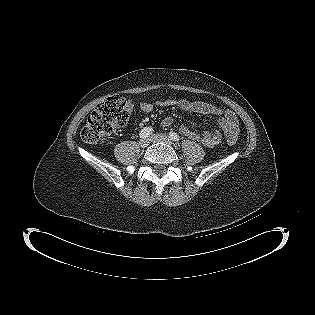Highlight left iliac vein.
Here are the masks:
<instances>
[{"label":"left iliac vein","mask_w":315,"mask_h":315,"mask_svg":"<svg viewBox=\"0 0 315 315\" xmlns=\"http://www.w3.org/2000/svg\"><path fill=\"white\" fill-rule=\"evenodd\" d=\"M150 141L157 143V142H162V143H166V144H172L171 139L164 134H154L150 137Z\"/></svg>","instance_id":"obj_1"}]
</instances>
